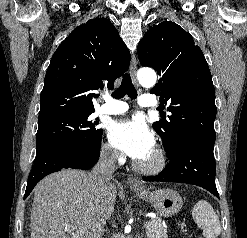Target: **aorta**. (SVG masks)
Instances as JSON below:
<instances>
[{"mask_svg":"<svg viewBox=\"0 0 247 238\" xmlns=\"http://www.w3.org/2000/svg\"><path fill=\"white\" fill-rule=\"evenodd\" d=\"M138 80L144 87H153L156 83L157 76L152 69L142 68L137 73Z\"/></svg>","mask_w":247,"mask_h":238,"instance_id":"1","label":"aorta"}]
</instances>
